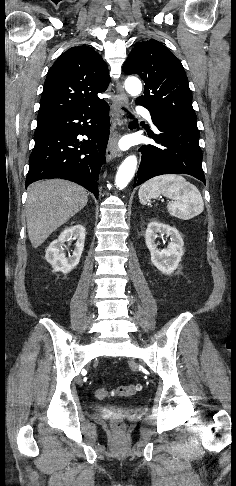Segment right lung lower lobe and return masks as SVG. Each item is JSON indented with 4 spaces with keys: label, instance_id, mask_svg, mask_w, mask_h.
Returning <instances> with one entry per match:
<instances>
[{
    "label": "right lung lower lobe",
    "instance_id": "98d812e1",
    "mask_svg": "<svg viewBox=\"0 0 236 486\" xmlns=\"http://www.w3.org/2000/svg\"><path fill=\"white\" fill-rule=\"evenodd\" d=\"M79 134L88 140L80 142ZM108 138L106 102L38 119L26 187L41 179L61 178L85 187L98 199V174Z\"/></svg>",
    "mask_w": 236,
    "mask_h": 486
}]
</instances>
